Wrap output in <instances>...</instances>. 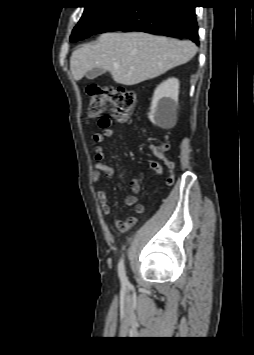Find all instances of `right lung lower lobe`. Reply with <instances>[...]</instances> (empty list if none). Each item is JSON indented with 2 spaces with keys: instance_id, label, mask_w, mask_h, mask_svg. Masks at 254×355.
Returning <instances> with one entry per match:
<instances>
[{
  "instance_id": "right-lung-lower-lobe-1",
  "label": "right lung lower lobe",
  "mask_w": 254,
  "mask_h": 355,
  "mask_svg": "<svg viewBox=\"0 0 254 355\" xmlns=\"http://www.w3.org/2000/svg\"><path fill=\"white\" fill-rule=\"evenodd\" d=\"M141 31L199 44L194 5L190 0H131L122 3L94 34ZM77 39L71 41L76 42Z\"/></svg>"
}]
</instances>
